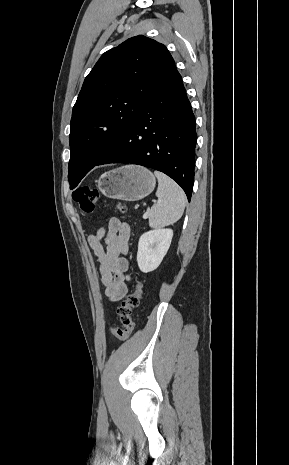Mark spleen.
I'll use <instances>...</instances> for the list:
<instances>
[{
	"label": "spleen",
	"mask_w": 289,
	"mask_h": 465,
	"mask_svg": "<svg viewBox=\"0 0 289 465\" xmlns=\"http://www.w3.org/2000/svg\"><path fill=\"white\" fill-rule=\"evenodd\" d=\"M158 179L156 196L158 202L147 213L149 226L161 228L172 225L183 215L186 203V195L181 187L170 177L162 172L155 171Z\"/></svg>",
	"instance_id": "spleen-1"
}]
</instances>
